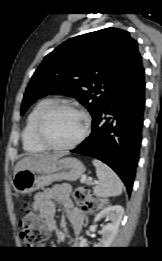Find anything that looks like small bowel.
<instances>
[{
    "mask_svg": "<svg viewBox=\"0 0 162 261\" xmlns=\"http://www.w3.org/2000/svg\"><path fill=\"white\" fill-rule=\"evenodd\" d=\"M71 187L64 184H57L43 191L36 193L33 202V210L37 212L52 230L56 222V203H61L66 209L74 232H80L84 223V216L75 208L71 197Z\"/></svg>",
    "mask_w": 162,
    "mask_h": 261,
    "instance_id": "small-bowel-1",
    "label": "small bowel"
}]
</instances>
